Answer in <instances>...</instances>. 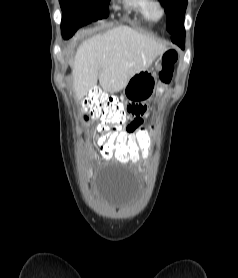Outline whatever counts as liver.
I'll return each mask as SVG.
<instances>
[{
  "label": "liver",
  "mask_w": 238,
  "mask_h": 278,
  "mask_svg": "<svg viewBox=\"0 0 238 278\" xmlns=\"http://www.w3.org/2000/svg\"><path fill=\"white\" fill-rule=\"evenodd\" d=\"M165 51L156 38L121 25L84 41L72 63L74 92L77 99L100 86L107 93L124 89L130 78L148 69Z\"/></svg>",
  "instance_id": "liver-1"
}]
</instances>
